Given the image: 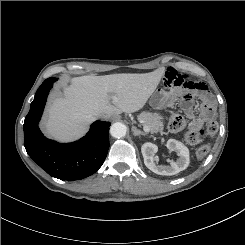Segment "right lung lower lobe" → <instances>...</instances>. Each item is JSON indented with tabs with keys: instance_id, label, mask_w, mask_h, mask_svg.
I'll list each match as a JSON object with an SVG mask.
<instances>
[{
	"instance_id": "right-lung-lower-lobe-1",
	"label": "right lung lower lobe",
	"mask_w": 245,
	"mask_h": 245,
	"mask_svg": "<svg viewBox=\"0 0 245 245\" xmlns=\"http://www.w3.org/2000/svg\"><path fill=\"white\" fill-rule=\"evenodd\" d=\"M57 79L50 77L39 87L24 121V146L29 156L52 177L74 181L95 173L109 149L111 123L96 121L80 140L60 144L47 139L38 128L47 95Z\"/></svg>"
}]
</instances>
